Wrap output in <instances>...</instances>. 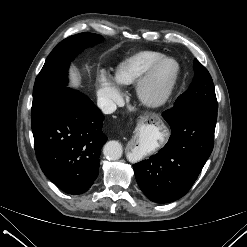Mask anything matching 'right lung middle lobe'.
Listing matches in <instances>:
<instances>
[{"label":"right lung middle lobe","mask_w":247,"mask_h":247,"mask_svg":"<svg viewBox=\"0 0 247 247\" xmlns=\"http://www.w3.org/2000/svg\"><path fill=\"white\" fill-rule=\"evenodd\" d=\"M103 39L101 35L80 33L60 42L50 53L33 88L32 123L37 122L66 90L69 63L77 53Z\"/></svg>","instance_id":"1"}]
</instances>
